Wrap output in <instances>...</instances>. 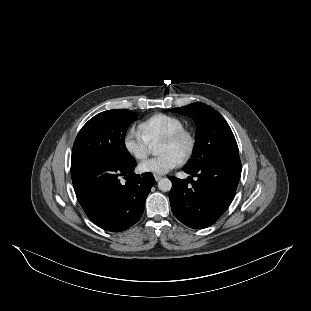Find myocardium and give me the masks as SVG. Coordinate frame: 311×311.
<instances>
[{
	"instance_id": "obj_1",
	"label": "myocardium",
	"mask_w": 311,
	"mask_h": 311,
	"mask_svg": "<svg viewBox=\"0 0 311 311\" xmlns=\"http://www.w3.org/2000/svg\"><path fill=\"white\" fill-rule=\"evenodd\" d=\"M183 139H187L188 148L186 152L183 154L181 160L183 162H188L194 157L199 142L198 134L192 127L183 126L178 130L170 133L166 137H164L162 141L167 142L169 144H179Z\"/></svg>"
}]
</instances>
